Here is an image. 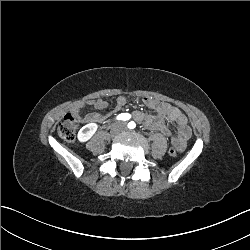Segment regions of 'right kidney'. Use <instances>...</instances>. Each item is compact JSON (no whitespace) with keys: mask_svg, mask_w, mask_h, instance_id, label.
<instances>
[{"mask_svg":"<svg viewBox=\"0 0 250 250\" xmlns=\"http://www.w3.org/2000/svg\"><path fill=\"white\" fill-rule=\"evenodd\" d=\"M97 126L94 123L87 124L84 127H82L78 133V137L81 141L88 140L93 133L96 131Z\"/></svg>","mask_w":250,"mask_h":250,"instance_id":"1","label":"right kidney"}]
</instances>
